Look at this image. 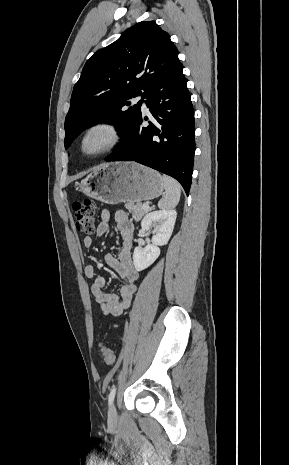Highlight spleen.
I'll return each mask as SVG.
<instances>
[{
    "label": "spleen",
    "mask_w": 289,
    "mask_h": 465,
    "mask_svg": "<svg viewBox=\"0 0 289 465\" xmlns=\"http://www.w3.org/2000/svg\"><path fill=\"white\" fill-rule=\"evenodd\" d=\"M162 180L164 183L165 194L158 202V207L161 209L175 208L180 200L181 186L175 179L167 175H163Z\"/></svg>",
    "instance_id": "1"
}]
</instances>
